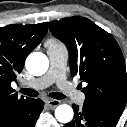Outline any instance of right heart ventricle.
<instances>
[{
    "label": "right heart ventricle",
    "instance_id": "1",
    "mask_svg": "<svg viewBox=\"0 0 127 127\" xmlns=\"http://www.w3.org/2000/svg\"><path fill=\"white\" fill-rule=\"evenodd\" d=\"M46 45H47V46H52V47H54V46H61V45H60L56 40H54V39H49V40L47 41Z\"/></svg>",
    "mask_w": 127,
    "mask_h": 127
}]
</instances>
